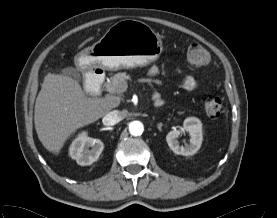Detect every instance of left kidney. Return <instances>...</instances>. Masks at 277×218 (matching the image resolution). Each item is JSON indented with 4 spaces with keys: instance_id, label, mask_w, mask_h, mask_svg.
I'll use <instances>...</instances> for the list:
<instances>
[{
    "instance_id": "1",
    "label": "left kidney",
    "mask_w": 277,
    "mask_h": 218,
    "mask_svg": "<svg viewBox=\"0 0 277 218\" xmlns=\"http://www.w3.org/2000/svg\"><path fill=\"white\" fill-rule=\"evenodd\" d=\"M187 131L190 135V144L180 146L177 138L180 133ZM203 140L202 123L198 118L188 117L184 120L183 127L179 130L170 131L166 136V141L170 149L178 155H194L201 147Z\"/></svg>"
}]
</instances>
